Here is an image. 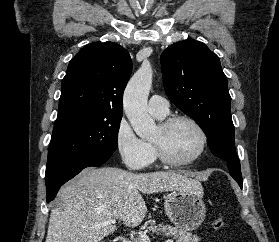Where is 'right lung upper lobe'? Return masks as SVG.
I'll return each mask as SVG.
<instances>
[{"label": "right lung upper lobe", "instance_id": "1", "mask_svg": "<svg viewBox=\"0 0 279 242\" xmlns=\"http://www.w3.org/2000/svg\"><path fill=\"white\" fill-rule=\"evenodd\" d=\"M131 70L130 55L119 44L105 42L85 46L67 68L58 114L88 110L122 116L123 92Z\"/></svg>", "mask_w": 279, "mask_h": 242}]
</instances>
